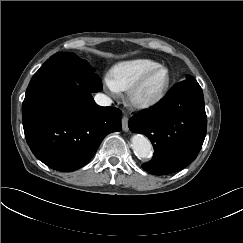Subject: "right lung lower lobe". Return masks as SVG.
I'll return each instance as SVG.
<instances>
[{"label":"right lung lower lobe","mask_w":243,"mask_h":243,"mask_svg":"<svg viewBox=\"0 0 243 243\" xmlns=\"http://www.w3.org/2000/svg\"><path fill=\"white\" fill-rule=\"evenodd\" d=\"M101 89L93 72L56 69L34 74L23 101L22 121L27 143L40 161L57 171L77 170L107 134L121 130V112L98 106L91 95Z\"/></svg>","instance_id":"98d812e1"}]
</instances>
